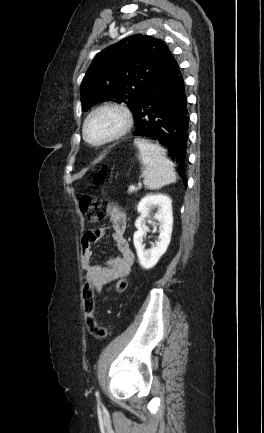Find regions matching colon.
<instances>
[{
  "mask_svg": "<svg viewBox=\"0 0 264 433\" xmlns=\"http://www.w3.org/2000/svg\"><path fill=\"white\" fill-rule=\"evenodd\" d=\"M107 175V167L101 165L95 171L92 183L94 186H100L104 183ZM80 207L86 214L88 220L92 223H97L105 218V214L101 209V198L91 193H85L80 198ZM128 287V280L121 278L116 283V291L124 292ZM83 311L85 323L89 332L96 338H105L109 334L108 327L97 325L94 318L95 307V289L91 282L87 281L82 291Z\"/></svg>",
  "mask_w": 264,
  "mask_h": 433,
  "instance_id": "1",
  "label": "colon"
}]
</instances>
